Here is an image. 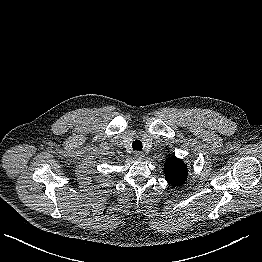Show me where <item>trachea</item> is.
Wrapping results in <instances>:
<instances>
[{
    "label": "trachea",
    "mask_w": 262,
    "mask_h": 262,
    "mask_svg": "<svg viewBox=\"0 0 262 262\" xmlns=\"http://www.w3.org/2000/svg\"><path fill=\"white\" fill-rule=\"evenodd\" d=\"M132 148H133L134 150L141 151L142 148H143L142 142L139 141V140H135V141L132 143Z\"/></svg>",
    "instance_id": "3493384b"
}]
</instances>
